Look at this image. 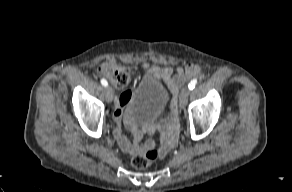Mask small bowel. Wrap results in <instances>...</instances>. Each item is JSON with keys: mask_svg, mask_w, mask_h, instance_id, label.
Returning a JSON list of instances; mask_svg holds the SVG:
<instances>
[{"mask_svg": "<svg viewBox=\"0 0 292 192\" xmlns=\"http://www.w3.org/2000/svg\"><path fill=\"white\" fill-rule=\"evenodd\" d=\"M142 68L152 76L163 80L172 91H176L187 78L197 76L200 73V68L195 64H188L185 67H177L175 73L174 69L171 67L159 68L151 66L146 62L142 64ZM130 95L131 93L129 91H124L115 102L114 135L120 148L128 154H145L148 151L154 149V143L152 141L141 143L144 134L158 132L160 134V146L157 151L160 156L165 155L174 146L177 139L178 129L176 120V102L173 101L171 105L172 118L170 120L161 121L157 125H146L143 127V129H138L135 126L134 121L129 116H127L126 125L133 134V139L129 140L122 130L121 121L123 117V111L128 105Z\"/></svg>", "mask_w": 292, "mask_h": 192, "instance_id": "1", "label": "small bowel"}]
</instances>
